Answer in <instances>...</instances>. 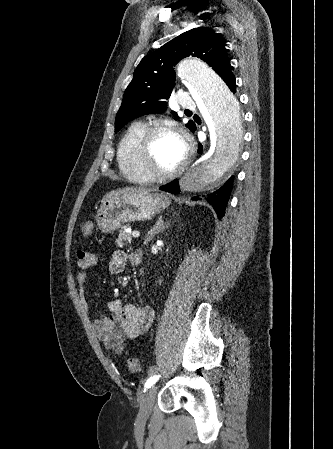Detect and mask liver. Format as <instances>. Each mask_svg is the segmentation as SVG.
Listing matches in <instances>:
<instances>
[{"instance_id": "1", "label": "liver", "mask_w": 333, "mask_h": 449, "mask_svg": "<svg viewBox=\"0 0 333 449\" xmlns=\"http://www.w3.org/2000/svg\"><path fill=\"white\" fill-rule=\"evenodd\" d=\"M147 192H149V191L145 190V189H137V188H132V187H126V188H122V189L112 190L111 192L107 193L103 197L102 202H104L106 200L113 199V198L120 197L125 194H129V193H147Z\"/></svg>"}]
</instances>
